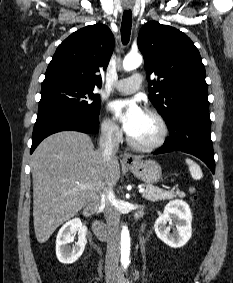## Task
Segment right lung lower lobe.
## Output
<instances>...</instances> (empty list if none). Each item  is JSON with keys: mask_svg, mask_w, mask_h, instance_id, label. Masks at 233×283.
Listing matches in <instances>:
<instances>
[{"mask_svg": "<svg viewBox=\"0 0 233 283\" xmlns=\"http://www.w3.org/2000/svg\"><path fill=\"white\" fill-rule=\"evenodd\" d=\"M99 129L98 116H86L71 111L51 109L38 113L32 135V153L47 136L60 131H79L96 134Z\"/></svg>", "mask_w": 233, "mask_h": 283, "instance_id": "obj_1", "label": "right lung lower lobe"}]
</instances>
